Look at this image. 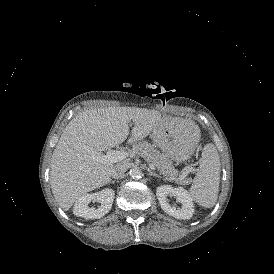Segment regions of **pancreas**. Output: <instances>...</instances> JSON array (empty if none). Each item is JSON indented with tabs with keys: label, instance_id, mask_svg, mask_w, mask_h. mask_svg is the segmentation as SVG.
Wrapping results in <instances>:
<instances>
[{
	"label": "pancreas",
	"instance_id": "pancreas-1",
	"mask_svg": "<svg viewBox=\"0 0 274 274\" xmlns=\"http://www.w3.org/2000/svg\"><path fill=\"white\" fill-rule=\"evenodd\" d=\"M131 154L144 157L145 161L152 164L160 173L165 176H175L178 171L174 168V163L167 156L160 154L153 145L147 142H140L134 145ZM190 179L186 178L182 183H189Z\"/></svg>",
	"mask_w": 274,
	"mask_h": 274
}]
</instances>
